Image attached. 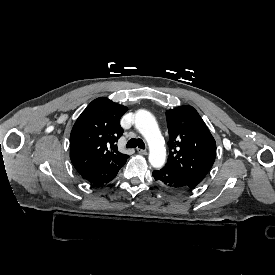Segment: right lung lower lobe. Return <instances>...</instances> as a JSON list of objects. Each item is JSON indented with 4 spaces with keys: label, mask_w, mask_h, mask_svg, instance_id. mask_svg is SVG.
<instances>
[{
    "label": "right lung lower lobe",
    "mask_w": 275,
    "mask_h": 275,
    "mask_svg": "<svg viewBox=\"0 0 275 275\" xmlns=\"http://www.w3.org/2000/svg\"><path fill=\"white\" fill-rule=\"evenodd\" d=\"M125 164V163H124ZM116 164H104L97 167H93L87 170H83L80 173L82 178L94 185H102L113 180L119 169L124 165Z\"/></svg>",
    "instance_id": "obj_1"
}]
</instances>
